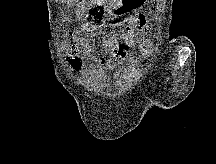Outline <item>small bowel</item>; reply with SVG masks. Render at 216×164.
<instances>
[{"mask_svg":"<svg viewBox=\"0 0 216 164\" xmlns=\"http://www.w3.org/2000/svg\"><path fill=\"white\" fill-rule=\"evenodd\" d=\"M146 21L147 17L145 15L128 18L125 21L127 27L120 35L109 32L104 36L102 49L104 52L110 53V58L105 62L108 69L115 68L127 56L129 47L144 38L148 30ZM137 25L140 26V29L135 33ZM151 48L152 42L147 39L144 40L141 46V56L147 55Z\"/></svg>","mask_w":216,"mask_h":164,"instance_id":"1","label":"small bowel"}]
</instances>
